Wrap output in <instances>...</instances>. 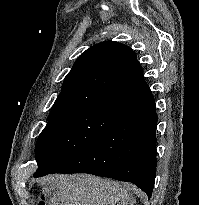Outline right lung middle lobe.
I'll use <instances>...</instances> for the list:
<instances>
[{
	"label": "right lung middle lobe",
	"instance_id": "right-lung-middle-lobe-1",
	"mask_svg": "<svg viewBox=\"0 0 199 205\" xmlns=\"http://www.w3.org/2000/svg\"><path fill=\"white\" fill-rule=\"evenodd\" d=\"M121 119L93 108H71L50 112L39 135L35 175H47L86 147L97 142Z\"/></svg>",
	"mask_w": 199,
	"mask_h": 205
}]
</instances>
